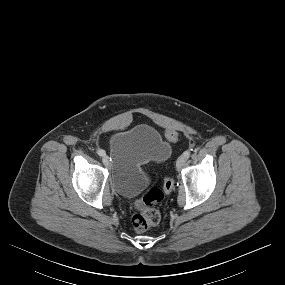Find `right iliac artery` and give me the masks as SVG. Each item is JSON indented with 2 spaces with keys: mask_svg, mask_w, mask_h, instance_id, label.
I'll list each match as a JSON object with an SVG mask.
<instances>
[{
  "mask_svg": "<svg viewBox=\"0 0 285 285\" xmlns=\"http://www.w3.org/2000/svg\"><path fill=\"white\" fill-rule=\"evenodd\" d=\"M97 153H98L99 156H104L105 155V151L103 149H99L97 151Z\"/></svg>",
  "mask_w": 285,
  "mask_h": 285,
  "instance_id": "right-iliac-artery-1",
  "label": "right iliac artery"
}]
</instances>
